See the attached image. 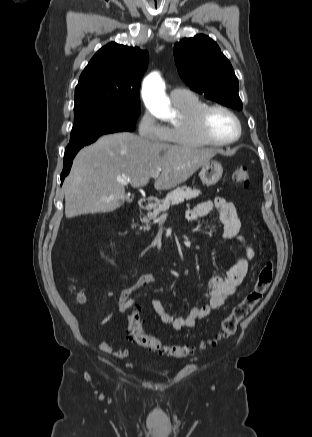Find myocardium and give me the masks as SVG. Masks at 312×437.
<instances>
[{
    "mask_svg": "<svg viewBox=\"0 0 312 437\" xmlns=\"http://www.w3.org/2000/svg\"><path fill=\"white\" fill-rule=\"evenodd\" d=\"M214 110H221L231 116L237 125V133L234 137L227 140H218L213 138L207 130V118ZM192 128L197 137L204 143L214 146H226L238 141L242 135V123L234 111L221 104L205 105L200 108L192 117Z\"/></svg>",
    "mask_w": 312,
    "mask_h": 437,
    "instance_id": "1",
    "label": "myocardium"
}]
</instances>
